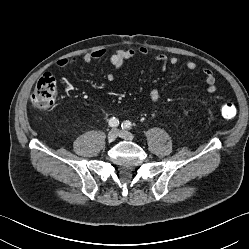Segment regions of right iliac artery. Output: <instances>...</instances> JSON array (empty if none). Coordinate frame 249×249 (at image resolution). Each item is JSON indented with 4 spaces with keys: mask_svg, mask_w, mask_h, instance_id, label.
<instances>
[{
    "mask_svg": "<svg viewBox=\"0 0 249 249\" xmlns=\"http://www.w3.org/2000/svg\"><path fill=\"white\" fill-rule=\"evenodd\" d=\"M109 125L111 127H117L119 125V121L117 118L113 117L109 120Z\"/></svg>",
    "mask_w": 249,
    "mask_h": 249,
    "instance_id": "1",
    "label": "right iliac artery"
}]
</instances>
